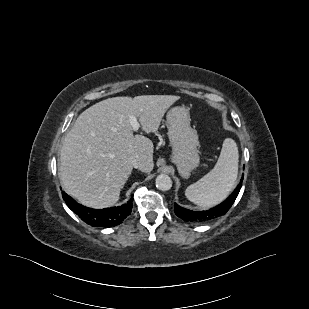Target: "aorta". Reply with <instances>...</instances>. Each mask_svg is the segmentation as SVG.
Instances as JSON below:
<instances>
[{
	"instance_id": "762f6f07",
	"label": "aorta",
	"mask_w": 309,
	"mask_h": 309,
	"mask_svg": "<svg viewBox=\"0 0 309 309\" xmlns=\"http://www.w3.org/2000/svg\"><path fill=\"white\" fill-rule=\"evenodd\" d=\"M156 187L161 191H168L172 187V180L170 176L166 174H160L156 178Z\"/></svg>"
}]
</instances>
